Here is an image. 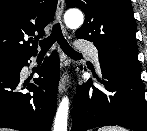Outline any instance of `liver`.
<instances>
[{
  "mask_svg": "<svg viewBox=\"0 0 147 131\" xmlns=\"http://www.w3.org/2000/svg\"><path fill=\"white\" fill-rule=\"evenodd\" d=\"M0 131H6V130H4V129L1 130V129H0Z\"/></svg>",
  "mask_w": 147,
  "mask_h": 131,
  "instance_id": "1",
  "label": "liver"
}]
</instances>
